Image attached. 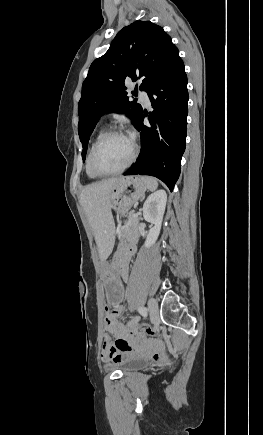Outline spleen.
<instances>
[{"instance_id": "obj_1", "label": "spleen", "mask_w": 263, "mask_h": 435, "mask_svg": "<svg viewBox=\"0 0 263 435\" xmlns=\"http://www.w3.org/2000/svg\"><path fill=\"white\" fill-rule=\"evenodd\" d=\"M142 180L144 184L146 185V188H148L150 191H154L158 187V182L153 177L144 176L142 177Z\"/></svg>"}]
</instances>
